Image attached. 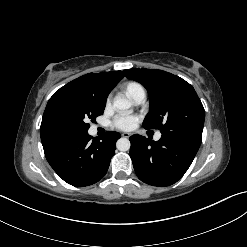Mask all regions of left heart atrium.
<instances>
[{"mask_svg": "<svg viewBox=\"0 0 247 247\" xmlns=\"http://www.w3.org/2000/svg\"><path fill=\"white\" fill-rule=\"evenodd\" d=\"M136 122H137V117L129 114H120L114 120L115 126L122 130L132 129L136 124Z\"/></svg>", "mask_w": 247, "mask_h": 247, "instance_id": "obj_1", "label": "left heart atrium"}]
</instances>
